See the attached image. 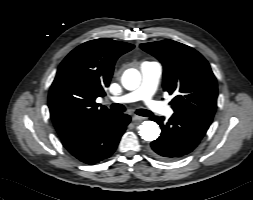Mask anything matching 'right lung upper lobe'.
<instances>
[{"label": "right lung upper lobe", "mask_w": 253, "mask_h": 200, "mask_svg": "<svg viewBox=\"0 0 253 200\" xmlns=\"http://www.w3.org/2000/svg\"><path fill=\"white\" fill-rule=\"evenodd\" d=\"M134 45L95 39L71 51L60 64L50 87L48 106L61 139L94 127L112 114L95 102L105 96L115 61Z\"/></svg>", "instance_id": "right-lung-upper-lobe-1"}]
</instances>
